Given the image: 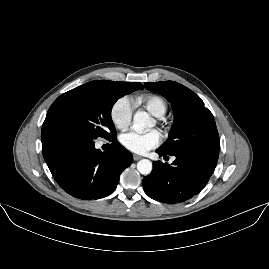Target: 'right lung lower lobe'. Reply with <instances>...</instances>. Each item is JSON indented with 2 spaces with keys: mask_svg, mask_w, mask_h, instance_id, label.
Wrapping results in <instances>:
<instances>
[{
  "mask_svg": "<svg viewBox=\"0 0 269 269\" xmlns=\"http://www.w3.org/2000/svg\"><path fill=\"white\" fill-rule=\"evenodd\" d=\"M41 140L43 157L56 182L68 194L84 200L110 195L133 161L132 154L116 140L102 152L94 147V139L65 122L45 119Z\"/></svg>",
  "mask_w": 269,
  "mask_h": 269,
  "instance_id": "obj_1",
  "label": "right lung lower lobe"
}]
</instances>
